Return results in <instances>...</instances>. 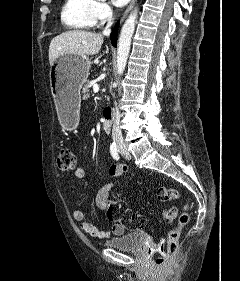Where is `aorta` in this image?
Returning <instances> with one entry per match:
<instances>
[{
	"instance_id": "762f6f07",
	"label": "aorta",
	"mask_w": 240,
	"mask_h": 281,
	"mask_svg": "<svg viewBox=\"0 0 240 281\" xmlns=\"http://www.w3.org/2000/svg\"><path fill=\"white\" fill-rule=\"evenodd\" d=\"M137 16H138V9L135 8L126 19L120 32V36L118 39V47H117V73L118 74H122L126 67L130 46H131V39L134 34Z\"/></svg>"
}]
</instances>
